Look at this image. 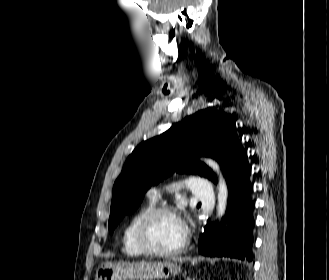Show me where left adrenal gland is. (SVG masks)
Segmentation results:
<instances>
[{"label": "left adrenal gland", "mask_w": 329, "mask_h": 280, "mask_svg": "<svg viewBox=\"0 0 329 280\" xmlns=\"http://www.w3.org/2000/svg\"><path fill=\"white\" fill-rule=\"evenodd\" d=\"M185 280H195V278L191 279L190 277H187Z\"/></svg>", "instance_id": "1"}]
</instances>
